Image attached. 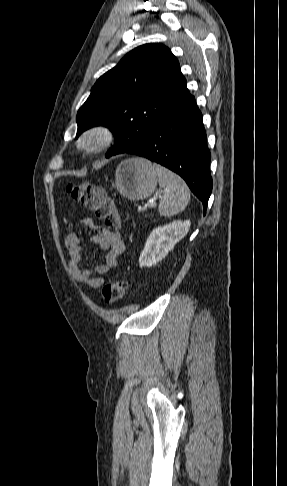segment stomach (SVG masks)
I'll list each match as a JSON object with an SVG mask.
<instances>
[{
  "label": "stomach",
  "instance_id": "1",
  "mask_svg": "<svg viewBox=\"0 0 287 486\" xmlns=\"http://www.w3.org/2000/svg\"><path fill=\"white\" fill-rule=\"evenodd\" d=\"M158 174L154 165L140 157L123 160L116 168L113 186L130 200L150 197L157 186Z\"/></svg>",
  "mask_w": 287,
  "mask_h": 486
}]
</instances>
